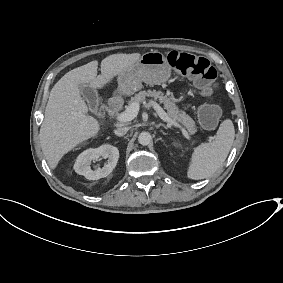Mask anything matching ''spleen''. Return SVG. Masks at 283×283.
<instances>
[{"mask_svg":"<svg viewBox=\"0 0 283 283\" xmlns=\"http://www.w3.org/2000/svg\"><path fill=\"white\" fill-rule=\"evenodd\" d=\"M234 138L233 122L226 119L220 124L212 142L202 143L194 149L187 176L190 179L199 180L215 173L227 158Z\"/></svg>","mask_w":283,"mask_h":283,"instance_id":"obj_1","label":"spleen"}]
</instances>
